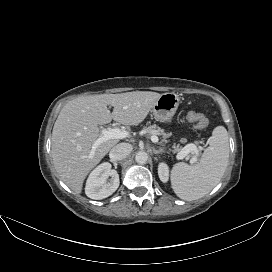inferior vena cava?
Here are the masks:
<instances>
[{
	"label": "inferior vena cava",
	"instance_id": "1",
	"mask_svg": "<svg viewBox=\"0 0 272 272\" xmlns=\"http://www.w3.org/2000/svg\"><path fill=\"white\" fill-rule=\"evenodd\" d=\"M132 151V146L128 143H119L115 145L109 153L112 161H118L126 158Z\"/></svg>",
	"mask_w": 272,
	"mask_h": 272
}]
</instances>
